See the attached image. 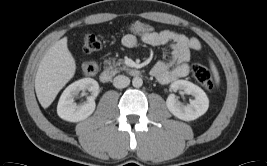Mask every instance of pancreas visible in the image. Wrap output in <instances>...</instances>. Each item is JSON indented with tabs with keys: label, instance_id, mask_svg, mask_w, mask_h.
Wrapping results in <instances>:
<instances>
[{
	"label": "pancreas",
	"instance_id": "cf45deb5",
	"mask_svg": "<svg viewBox=\"0 0 267 166\" xmlns=\"http://www.w3.org/2000/svg\"><path fill=\"white\" fill-rule=\"evenodd\" d=\"M104 64L107 65L106 69L110 70L112 73H118L121 70H126L127 67L123 65V61L121 59L115 60L114 58L112 59H107L104 61Z\"/></svg>",
	"mask_w": 267,
	"mask_h": 166
}]
</instances>
